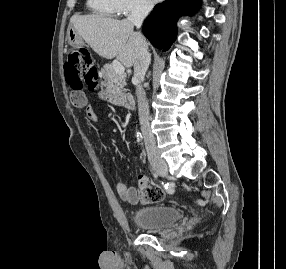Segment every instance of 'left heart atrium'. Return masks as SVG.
Returning <instances> with one entry per match:
<instances>
[{
  "instance_id": "39dd6f15",
  "label": "left heart atrium",
  "mask_w": 286,
  "mask_h": 269,
  "mask_svg": "<svg viewBox=\"0 0 286 269\" xmlns=\"http://www.w3.org/2000/svg\"><path fill=\"white\" fill-rule=\"evenodd\" d=\"M151 3H155V2H158L160 0H149Z\"/></svg>"
}]
</instances>
